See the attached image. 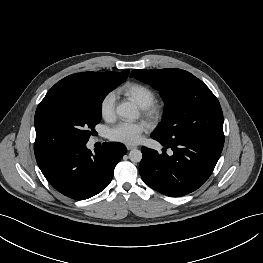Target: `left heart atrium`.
<instances>
[{"instance_id":"left-heart-atrium-1","label":"left heart atrium","mask_w":263,"mask_h":263,"mask_svg":"<svg viewBox=\"0 0 263 263\" xmlns=\"http://www.w3.org/2000/svg\"><path fill=\"white\" fill-rule=\"evenodd\" d=\"M148 129L149 125L145 122H121L110 129L109 137L113 141L135 145Z\"/></svg>"}]
</instances>
